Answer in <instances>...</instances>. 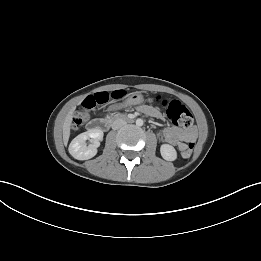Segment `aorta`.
I'll return each instance as SVG.
<instances>
[{"label":"aorta","mask_w":261,"mask_h":261,"mask_svg":"<svg viewBox=\"0 0 261 261\" xmlns=\"http://www.w3.org/2000/svg\"><path fill=\"white\" fill-rule=\"evenodd\" d=\"M136 125L137 126H142L143 125V120L142 119H137L136 120Z\"/></svg>","instance_id":"1"}]
</instances>
